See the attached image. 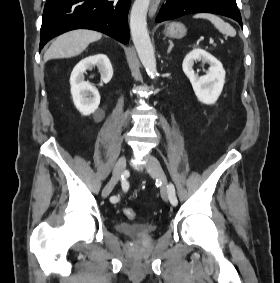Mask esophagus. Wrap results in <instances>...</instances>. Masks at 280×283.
<instances>
[{"mask_svg":"<svg viewBox=\"0 0 280 283\" xmlns=\"http://www.w3.org/2000/svg\"><path fill=\"white\" fill-rule=\"evenodd\" d=\"M160 0H151L149 7V16L153 17L158 9Z\"/></svg>","mask_w":280,"mask_h":283,"instance_id":"esophagus-1","label":"esophagus"}]
</instances>
